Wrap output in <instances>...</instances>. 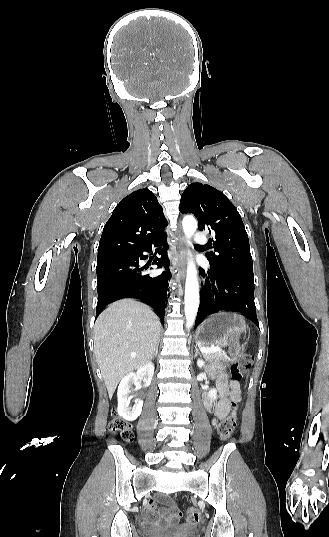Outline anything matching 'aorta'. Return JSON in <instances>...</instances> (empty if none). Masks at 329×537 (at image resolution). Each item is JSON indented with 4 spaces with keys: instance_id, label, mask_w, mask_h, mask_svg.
Listing matches in <instances>:
<instances>
[{
    "instance_id": "1",
    "label": "aorta",
    "mask_w": 329,
    "mask_h": 537,
    "mask_svg": "<svg viewBox=\"0 0 329 537\" xmlns=\"http://www.w3.org/2000/svg\"><path fill=\"white\" fill-rule=\"evenodd\" d=\"M182 226L185 236L187 238L186 242L189 246H191L190 238L193 236L197 229V221L192 216H186L183 218ZM184 301L186 328L190 329L195 322L200 301L197 269L192 259L189 260L187 266Z\"/></svg>"
}]
</instances>
